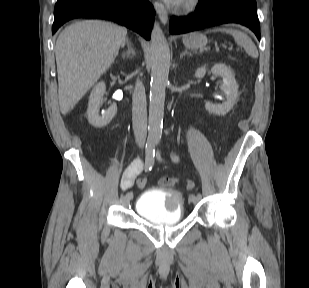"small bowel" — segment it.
<instances>
[{
    "instance_id": "small-bowel-1",
    "label": "small bowel",
    "mask_w": 309,
    "mask_h": 288,
    "mask_svg": "<svg viewBox=\"0 0 309 288\" xmlns=\"http://www.w3.org/2000/svg\"><path fill=\"white\" fill-rule=\"evenodd\" d=\"M173 159L177 161L176 156H174ZM142 167H143V163L139 159H137V164L128 166L121 180V187L123 189H129L133 186L134 180L137 177V175L140 173V171L142 170Z\"/></svg>"
}]
</instances>
